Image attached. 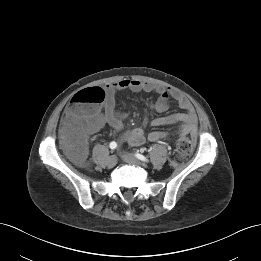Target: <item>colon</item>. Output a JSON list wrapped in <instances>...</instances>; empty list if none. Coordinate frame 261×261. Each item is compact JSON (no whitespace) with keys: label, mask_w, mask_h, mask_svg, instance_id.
<instances>
[{"label":"colon","mask_w":261,"mask_h":261,"mask_svg":"<svg viewBox=\"0 0 261 261\" xmlns=\"http://www.w3.org/2000/svg\"><path fill=\"white\" fill-rule=\"evenodd\" d=\"M104 101V90L93 87L78 92L67 105L62 127V146L72 160L82 162L85 159L87 121ZM192 149L191 140L181 136L176 142V159H186Z\"/></svg>","instance_id":"1"}]
</instances>
